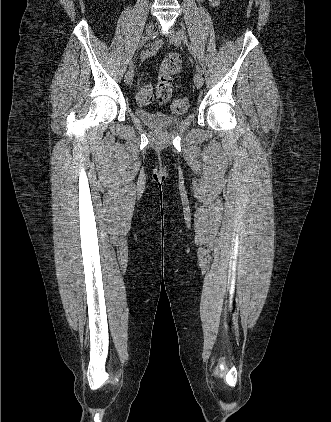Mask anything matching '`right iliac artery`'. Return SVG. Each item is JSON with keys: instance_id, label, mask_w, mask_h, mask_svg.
I'll use <instances>...</instances> for the list:
<instances>
[{"instance_id": "1", "label": "right iliac artery", "mask_w": 331, "mask_h": 422, "mask_svg": "<svg viewBox=\"0 0 331 422\" xmlns=\"http://www.w3.org/2000/svg\"><path fill=\"white\" fill-rule=\"evenodd\" d=\"M146 41H147V39L143 37V38H142V40H141V42H140V45H139L138 51H141V48H142V46L146 43ZM133 66H134V60H131V61L129 62V68H130V69H132V68H133Z\"/></svg>"}]
</instances>
